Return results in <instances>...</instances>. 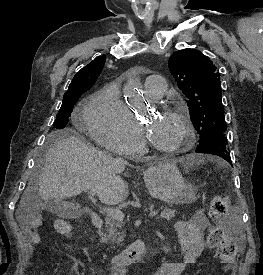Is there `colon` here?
<instances>
[{
	"mask_svg": "<svg viewBox=\"0 0 263 275\" xmlns=\"http://www.w3.org/2000/svg\"><path fill=\"white\" fill-rule=\"evenodd\" d=\"M229 212V199L225 195H217L213 197L210 206V215L216 220H222L227 217ZM56 231L65 236L71 237L73 229L70 224L65 221H57L55 223ZM208 244L216 249L217 257L225 264L226 268L230 269L234 264L237 245L226 236L220 228H214L208 236Z\"/></svg>",
	"mask_w": 263,
	"mask_h": 275,
	"instance_id": "colon-1",
	"label": "colon"
}]
</instances>
